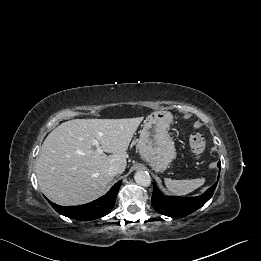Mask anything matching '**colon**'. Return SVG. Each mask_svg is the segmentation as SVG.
<instances>
[{
    "instance_id": "5ec220e1",
    "label": "colon",
    "mask_w": 261,
    "mask_h": 261,
    "mask_svg": "<svg viewBox=\"0 0 261 261\" xmlns=\"http://www.w3.org/2000/svg\"><path fill=\"white\" fill-rule=\"evenodd\" d=\"M190 150L195 159H200L206 149V139L201 133H193L189 138Z\"/></svg>"
}]
</instances>
